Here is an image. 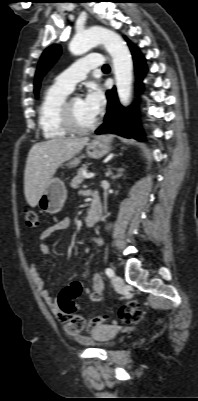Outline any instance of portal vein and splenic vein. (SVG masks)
Segmentation results:
<instances>
[{
	"label": "portal vein and splenic vein",
	"mask_w": 198,
	"mask_h": 401,
	"mask_svg": "<svg viewBox=\"0 0 198 401\" xmlns=\"http://www.w3.org/2000/svg\"><path fill=\"white\" fill-rule=\"evenodd\" d=\"M94 176H95L94 173L85 174V178H87V179H91V178H93Z\"/></svg>",
	"instance_id": "portal-vein-and-splenic-vein-1"
}]
</instances>
